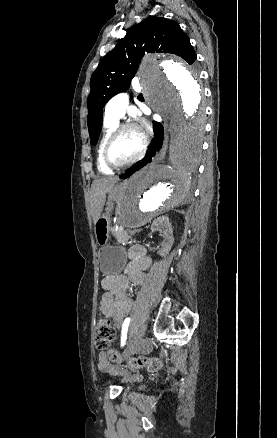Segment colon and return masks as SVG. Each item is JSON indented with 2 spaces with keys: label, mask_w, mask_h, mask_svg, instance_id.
Returning a JSON list of instances; mask_svg holds the SVG:
<instances>
[{
  "label": "colon",
  "mask_w": 277,
  "mask_h": 438,
  "mask_svg": "<svg viewBox=\"0 0 277 438\" xmlns=\"http://www.w3.org/2000/svg\"><path fill=\"white\" fill-rule=\"evenodd\" d=\"M116 337V329L112 322L106 319H99L94 325V343L95 346L102 351L108 350L112 341ZM108 359L112 362H126L131 368L147 367L149 371H159L162 369L161 361L158 358L133 357L123 359V356L118 353L109 354Z\"/></svg>",
  "instance_id": "1"
}]
</instances>
